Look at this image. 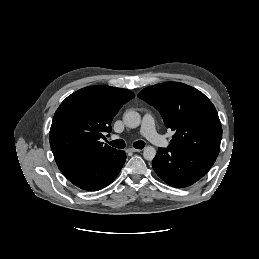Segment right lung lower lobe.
<instances>
[{"mask_svg":"<svg viewBox=\"0 0 259 259\" xmlns=\"http://www.w3.org/2000/svg\"><path fill=\"white\" fill-rule=\"evenodd\" d=\"M125 160V152L115 150L108 155L97 157L83 164L63 166L59 169L75 186L88 191H97L113 182Z\"/></svg>","mask_w":259,"mask_h":259,"instance_id":"98d812e1","label":"right lung lower lobe"}]
</instances>
